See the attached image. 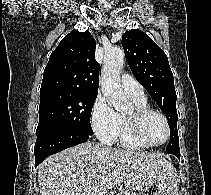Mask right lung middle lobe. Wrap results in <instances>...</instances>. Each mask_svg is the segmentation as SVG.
<instances>
[{
	"label": "right lung middle lobe",
	"mask_w": 211,
	"mask_h": 195,
	"mask_svg": "<svg viewBox=\"0 0 211 195\" xmlns=\"http://www.w3.org/2000/svg\"><path fill=\"white\" fill-rule=\"evenodd\" d=\"M37 136L43 132L65 128L93 134L91 111L97 94L69 90H50L40 93Z\"/></svg>",
	"instance_id": "right-lung-middle-lobe-1"
}]
</instances>
